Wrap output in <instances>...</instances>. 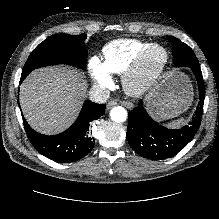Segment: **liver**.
<instances>
[{"instance_id": "6515ba94", "label": "liver", "mask_w": 219, "mask_h": 219, "mask_svg": "<svg viewBox=\"0 0 219 219\" xmlns=\"http://www.w3.org/2000/svg\"><path fill=\"white\" fill-rule=\"evenodd\" d=\"M85 89L82 75L74 70L66 67L37 70L21 86L22 111L34 129L58 133L74 120Z\"/></svg>"}]
</instances>
